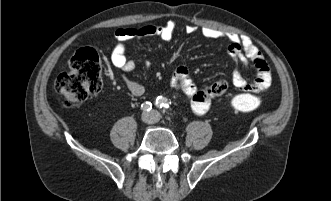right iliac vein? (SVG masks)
Instances as JSON below:
<instances>
[{"instance_id":"1","label":"right iliac vein","mask_w":331,"mask_h":201,"mask_svg":"<svg viewBox=\"0 0 331 201\" xmlns=\"http://www.w3.org/2000/svg\"><path fill=\"white\" fill-rule=\"evenodd\" d=\"M150 119H151V115L150 114L147 113V114H144L143 115V120L144 121L148 122V121H150Z\"/></svg>"}]
</instances>
